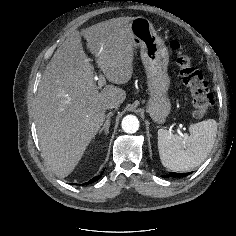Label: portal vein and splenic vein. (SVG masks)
I'll use <instances>...</instances> for the list:
<instances>
[{
	"label": "portal vein and splenic vein",
	"mask_w": 236,
	"mask_h": 236,
	"mask_svg": "<svg viewBox=\"0 0 236 236\" xmlns=\"http://www.w3.org/2000/svg\"><path fill=\"white\" fill-rule=\"evenodd\" d=\"M95 80H98L99 87H101L105 84V78H104L103 74H100L98 77L95 76Z\"/></svg>",
	"instance_id": "18ae733b"
}]
</instances>
